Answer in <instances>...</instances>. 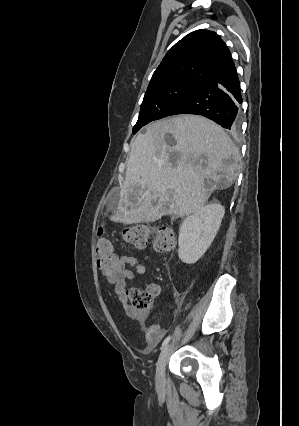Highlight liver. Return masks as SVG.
I'll return each mask as SVG.
<instances>
[{
	"instance_id": "6515ba94",
	"label": "liver",
	"mask_w": 299,
	"mask_h": 426,
	"mask_svg": "<svg viewBox=\"0 0 299 426\" xmlns=\"http://www.w3.org/2000/svg\"><path fill=\"white\" fill-rule=\"evenodd\" d=\"M172 136V143L166 135ZM239 152L222 127L198 115H179L147 126L131 143L114 222H154L200 210L217 188L237 177ZM233 160V162H232Z\"/></svg>"
}]
</instances>
